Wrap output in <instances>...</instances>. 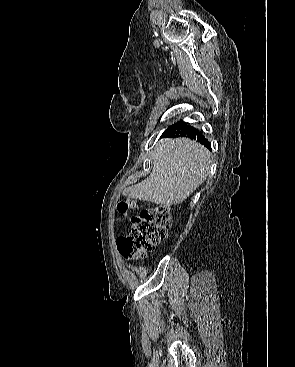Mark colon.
Masks as SVG:
<instances>
[{
  "label": "colon",
  "instance_id": "5ec220e1",
  "mask_svg": "<svg viewBox=\"0 0 295 367\" xmlns=\"http://www.w3.org/2000/svg\"><path fill=\"white\" fill-rule=\"evenodd\" d=\"M136 206V201L125 199L118 204L117 209L120 213H126ZM170 225L171 214L167 207L156 206L142 210L132 216L130 233L118 239L120 254L130 259L143 258L166 237Z\"/></svg>",
  "mask_w": 295,
  "mask_h": 367
}]
</instances>
